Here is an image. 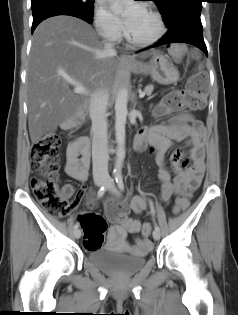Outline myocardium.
<instances>
[{
    "label": "myocardium",
    "instance_id": "obj_1",
    "mask_svg": "<svg viewBox=\"0 0 238 315\" xmlns=\"http://www.w3.org/2000/svg\"><path fill=\"white\" fill-rule=\"evenodd\" d=\"M145 10L150 13L154 19L156 20V23H157V32L155 33L154 36H152L151 38L149 39H145V40H139V39H135L133 38L129 32H128V29L125 31V37H126V40L133 46H136V47H147V46H150V45H153L155 44L156 42H158L162 37L163 35L165 34L166 32V27H165V23H164V20L161 16V14L156 11L155 9H152V8H149V7H146Z\"/></svg>",
    "mask_w": 238,
    "mask_h": 315
}]
</instances>
